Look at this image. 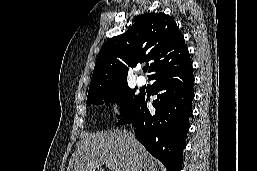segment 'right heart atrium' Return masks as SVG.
Segmentation results:
<instances>
[{"mask_svg":"<svg viewBox=\"0 0 257 171\" xmlns=\"http://www.w3.org/2000/svg\"><path fill=\"white\" fill-rule=\"evenodd\" d=\"M110 109L113 114L118 115L122 112V102L119 98H113L110 101Z\"/></svg>","mask_w":257,"mask_h":171,"instance_id":"right-heart-atrium-1","label":"right heart atrium"}]
</instances>
